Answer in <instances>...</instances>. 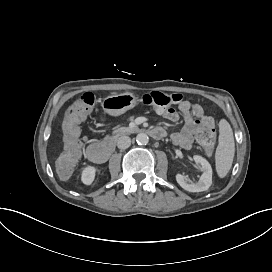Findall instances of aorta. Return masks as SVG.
<instances>
[{"mask_svg":"<svg viewBox=\"0 0 272 272\" xmlns=\"http://www.w3.org/2000/svg\"><path fill=\"white\" fill-rule=\"evenodd\" d=\"M148 140H149V137L146 133L140 132L136 136V142L138 144H142V145L147 144Z\"/></svg>","mask_w":272,"mask_h":272,"instance_id":"762f6f07","label":"aorta"}]
</instances>
